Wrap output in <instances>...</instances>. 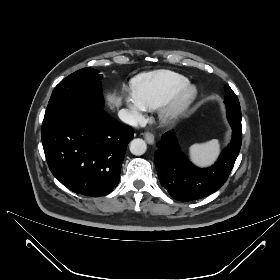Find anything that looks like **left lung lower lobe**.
I'll return each mask as SVG.
<instances>
[{"label": "left lung lower lobe", "instance_id": "left-lung-lower-lobe-1", "mask_svg": "<svg viewBox=\"0 0 280 280\" xmlns=\"http://www.w3.org/2000/svg\"><path fill=\"white\" fill-rule=\"evenodd\" d=\"M233 129L230 145L222 152L215 165L200 169L191 164L180 151L170 132L162 135L155 151V167L161 185L170 196L179 201H193L217 191L228 179L239 154L242 132L238 119H228Z\"/></svg>", "mask_w": 280, "mask_h": 280}]
</instances>
